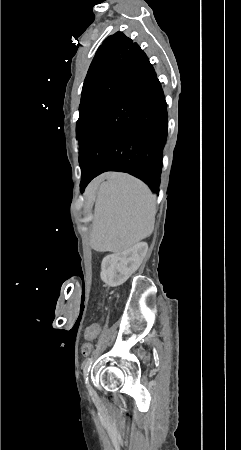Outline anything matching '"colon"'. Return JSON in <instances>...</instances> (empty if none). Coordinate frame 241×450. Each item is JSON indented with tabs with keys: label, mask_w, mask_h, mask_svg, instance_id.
<instances>
[{
	"label": "colon",
	"mask_w": 241,
	"mask_h": 450,
	"mask_svg": "<svg viewBox=\"0 0 241 450\" xmlns=\"http://www.w3.org/2000/svg\"><path fill=\"white\" fill-rule=\"evenodd\" d=\"M101 327V324L99 321H92L91 324H87L86 326V334L88 336H91L93 333H96L97 330H99ZM94 348L91 344H87L84 347H82L81 352L84 354V356H89L91 353H93Z\"/></svg>",
	"instance_id": "colon-1"
}]
</instances>
